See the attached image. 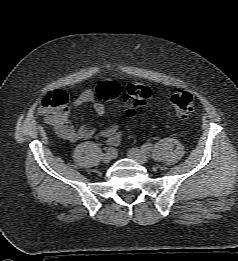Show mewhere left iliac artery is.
<instances>
[{"label":"left iliac artery","instance_id":"1","mask_svg":"<svg viewBox=\"0 0 238 261\" xmlns=\"http://www.w3.org/2000/svg\"><path fill=\"white\" fill-rule=\"evenodd\" d=\"M152 143L151 142H148L146 144H144L142 147H141V150L144 152V153H149L151 150H152Z\"/></svg>","mask_w":238,"mask_h":261}]
</instances>
